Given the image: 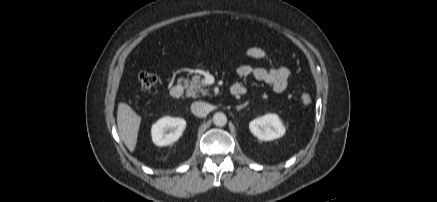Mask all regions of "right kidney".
Here are the masks:
<instances>
[{
	"label": "right kidney",
	"mask_w": 437,
	"mask_h": 202,
	"mask_svg": "<svg viewBox=\"0 0 437 202\" xmlns=\"http://www.w3.org/2000/svg\"><path fill=\"white\" fill-rule=\"evenodd\" d=\"M186 127L182 118L163 117L152 125V141L157 146H167L177 141Z\"/></svg>",
	"instance_id": "1"
}]
</instances>
